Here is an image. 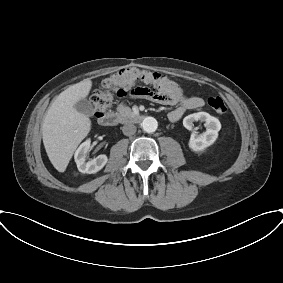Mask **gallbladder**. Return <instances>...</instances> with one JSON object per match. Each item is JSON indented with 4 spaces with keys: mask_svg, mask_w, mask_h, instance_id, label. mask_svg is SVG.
Masks as SVG:
<instances>
[{
    "mask_svg": "<svg viewBox=\"0 0 283 283\" xmlns=\"http://www.w3.org/2000/svg\"><path fill=\"white\" fill-rule=\"evenodd\" d=\"M74 108L86 115V116H92V114L94 113V107L93 105L91 104L90 101H88L87 99H81L80 101H78L75 105H74Z\"/></svg>",
    "mask_w": 283,
    "mask_h": 283,
    "instance_id": "1",
    "label": "gallbladder"
}]
</instances>
